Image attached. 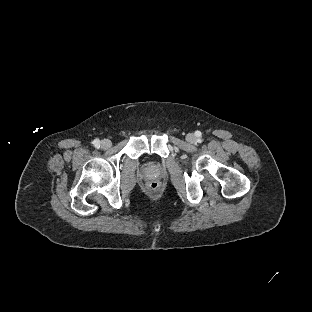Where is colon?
Segmentation results:
<instances>
[{"instance_id": "colon-1", "label": "colon", "mask_w": 312, "mask_h": 312, "mask_svg": "<svg viewBox=\"0 0 312 312\" xmlns=\"http://www.w3.org/2000/svg\"><path fill=\"white\" fill-rule=\"evenodd\" d=\"M149 187H150L151 190L156 191V190L159 189L160 184H159L158 181L153 180V181L150 182Z\"/></svg>"}]
</instances>
